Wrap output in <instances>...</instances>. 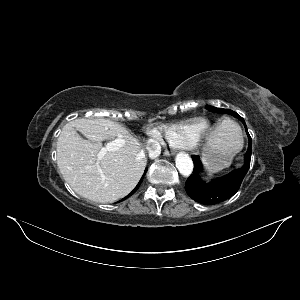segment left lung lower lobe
<instances>
[{
    "label": "left lung lower lobe",
    "instance_id": "left-lung-lower-lobe-1",
    "mask_svg": "<svg viewBox=\"0 0 300 300\" xmlns=\"http://www.w3.org/2000/svg\"><path fill=\"white\" fill-rule=\"evenodd\" d=\"M244 125L249 138V146L244 157L245 164L242 168L234 170L228 175L206 183L202 181L198 175V173L202 171V163L200 158L198 156H192L194 162V171L185 183V190L187 194L196 202L204 205H214L229 199L238 191L242 180L250 167L251 159V137L247 131L245 123Z\"/></svg>",
    "mask_w": 300,
    "mask_h": 300
}]
</instances>
